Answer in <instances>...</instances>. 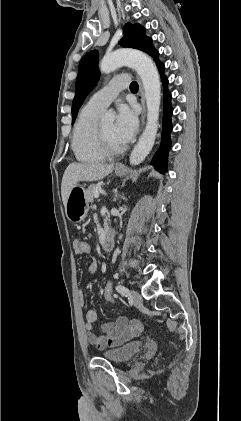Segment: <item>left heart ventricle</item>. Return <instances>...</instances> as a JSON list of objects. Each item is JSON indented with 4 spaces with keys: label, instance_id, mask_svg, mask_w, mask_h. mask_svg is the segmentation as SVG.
I'll use <instances>...</instances> for the list:
<instances>
[{
    "label": "left heart ventricle",
    "instance_id": "b2bd125f",
    "mask_svg": "<svg viewBox=\"0 0 241 421\" xmlns=\"http://www.w3.org/2000/svg\"><path fill=\"white\" fill-rule=\"evenodd\" d=\"M101 130L103 131L104 135L108 139V141L115 147H120L122 144L117 140L115 137V131H114V123H106L102 125Z\"/></svg>",
    "mask_w": 241,
    "mask_h": 421
}]
</instances>
